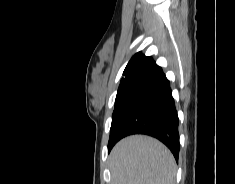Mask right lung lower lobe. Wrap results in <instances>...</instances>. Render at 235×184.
<instances>
[{
  "instance_id": "right-lung-lower-lobe-1",
  "label": "right lung lower lobe",
  "mask_w": 235,
  "mask_h": 184,
  "mask_svg": "<svg viewBox=\"0 0 235 184\" xmlns=\"http://www.w3.org/2000/svg\"><path fill=\"white\" fill-rule=\"evenodd\" d=\"M178 125L170 82L161 67L156 66L124 92L113 113L108 152L128 135L145 134L164 143L178 161Z\"/></svg>"
}]
</instances>
